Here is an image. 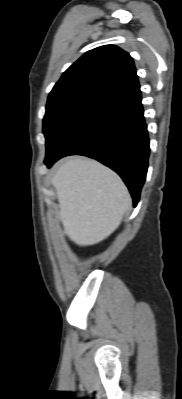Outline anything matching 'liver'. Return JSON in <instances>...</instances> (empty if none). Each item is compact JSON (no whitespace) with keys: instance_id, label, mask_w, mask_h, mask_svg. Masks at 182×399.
<instances>
[{"instance_id":"liver-1","label":"liver","mask_w":182,"mask_h":399,"mask_svg":"<svg viewBox=\"0 0 182 399\" xmlns=\"http://www.w3.org/2000/svg\"><path fill=\"white\" fill-rule=\"evenodd\" d=\"M64 233L79 246L101 242L113 233L131 206L120 177L91 159L71 158L52 178Z\"/></svg>"}]
</instances>
